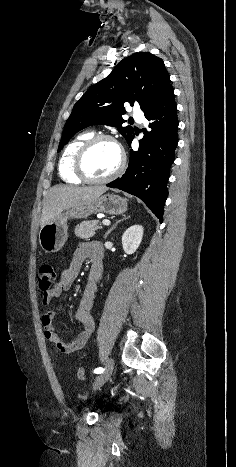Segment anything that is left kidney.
Instances as JSON below:
<instances>
[{
  "instance_id": "left-kidney-1",
  "label": "left kidney",
  "mask_w": 236,
  "mask_h": 467,
  "mask_svg": "<svg viewBox=\"0 0 236 467\" xmlns=\"http://www.w3.org/2000/svg\"><path fill=\"white\" fill-rule=\"evenodd\" d=\"M143 237V227L134 225L128 228L122 236V246L124 252L133 254L139 247Z\"/></svg>"
}]
</instances>
